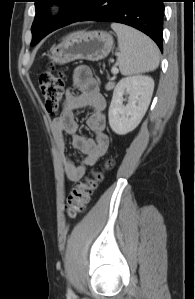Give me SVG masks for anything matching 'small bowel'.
Wrapping results in <instances>:
<instances>
[{
  "mask_svg": "<svg viewBox=\"0 0 195 299\" xmlns=\"http://www.w3.org/2000/svg\"><path fill=\"white\" fill-rule=\"evenodd\" d=\"M71 81L78 93L70 89L66 91L63 109L60 115L52 121L51 126L57 147L64 159L65 176L70 182H77L85 176L87 168L95 165L106 153L109 138L104 133L106 100L100 92L97 80L88 68L78 67L72 72ZM84 108L91 109V113L86 118V126L95 134L93 139L77 133L78 123L74 113ZM66 134L71 135L73 148L84 154L83 160L78 164L66 158L64 154V135Z\"/></svg>",
  "mask_w": 195,
  "mask_h": 299,
  "instance_id": "obj_1",
  "label": "small bowel"
}]
</instances>
